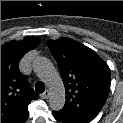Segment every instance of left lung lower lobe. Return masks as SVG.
Masks as SVG:
<instances>
[{"label":"left lung lower lobe","instance_id":"0a47b994","mask_svg":"<svg viewBox=\"0 0 123 123\" xmlns=\"http://www.w3.org/2000/svg\"><path fill=\"white\" fill-rule=\"evenodd\" d=\"M53 116L56 120H58L59 122H62V123H74L72 120L60 115L59 113L57 112H53Z\"/></svg>","mask_w":123,"mask_h":123}]
</instances>
